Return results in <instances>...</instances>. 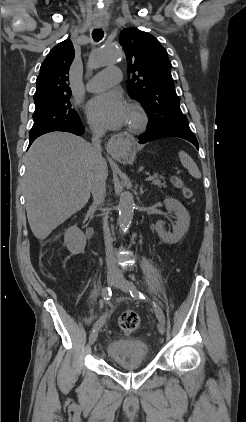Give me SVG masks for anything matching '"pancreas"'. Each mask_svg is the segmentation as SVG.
Here are the masks:
<instances>
[{
	"instance_id": "1",
	"label": "pancreas",
	"mask_w": 246,
	"mask_h": 422,
	"mask_svg": "<svg viewBox=\"0 0 246 422\" xmlns=\"http://www.w3.org/2000/svg\"><path fill=\"white\" fill-rule=\"evenodd\" d=\"M152 183L158 186H165V182H161L160 178L156 174L154 175V180L152 181Z\"/></svg>"
}]
</instances>
